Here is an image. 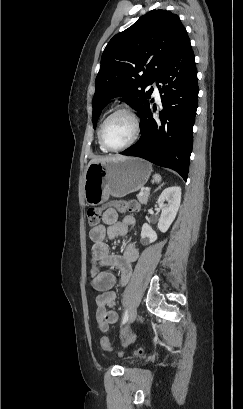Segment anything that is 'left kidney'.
Masks as SVG:
<instances>
[{"label": "left kidney", "mask_w": 243, "mask_h": 409, "mask_svg": "<svg viewBox=\"0 0 243 409\" xmlns=\"http://www.w3.org/2000/svg\"><path fill=\"white\" fill-rule=\"evenodd\" d=\"M165 201L168 204H165ZM181 202V188L178 186L168 187L159 196L158 205L161 208V216L158 222V229L165 233L174 221ZM156 232L150 225L144 224L141 231V243L147 245L157 240Z\"/></svg>", "instance_id": "obj_1"}]
</instances>
